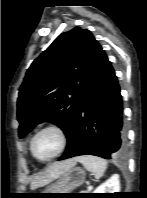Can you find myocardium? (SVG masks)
Instances as JSON below:
<instances>
[{
    "label": "myocardium",
    "mask_w": 147,
    "mask_h": 198,
    "mask_svg": "<svg viewBox=\"0 0 147 198\" xmlns=\"http://www.w3.org/2000/svg\"><path fill=\"white\" fill-rule=\"evenodd\" d=\"M45 131H54V132H56L58 137H59V139H60V146H59L58 150L52 156H50L49 158H46V159H41V158H38L35 155L34 150H33V143H34L36 137L38 135H40L41 133L45 132ZM67 142H68V137H67V134H66L65 130L61 126H59L57 124H49V125L41 127L40 129H38L33 134V136L30 139L29 148H30V152H31L32 156L37 161H39V162H50V161L54 160L55 158H57L59 155L62 154V152L65 150V148L67 146Z\"/></svg>",
    "instance_id": "obj_1"
}]
</instances>
